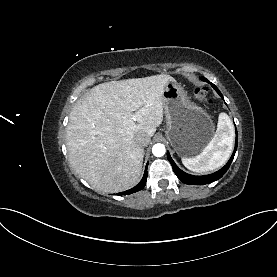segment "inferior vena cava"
<instances>
[{"instance_id": "1", "label": "inferior vena cava", "mask_w": 277, "mask_h": 277, "mask_svg": "<svg viewBox=\"0 0 277 277\" xmlns=\"http://www.w3.org/2000/svg\"><path fill=\"white\" fill-rule=\"evenodd\" d=\"M135 141L142 147H145L149 144L150 140L144 133H138L135 136Z\"/></svg>"}]
</instances>
